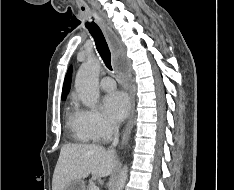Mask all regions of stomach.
Listing matches in <instances>:
<instances>
[{"label":"stomach","mask_w":234,"mask_h":190,"mask_svg":"<svg viewBox=\"0 0 234 190\" xmlns=\"http://www.w3.org/2000/svg\"><path fill=\"white\" fill-rule=\"evenodd\" d=\"M64 190H85V182L82 179L69 182Z\"/></svg>","instance_id":"obj_1"}]
</instances>
